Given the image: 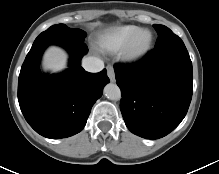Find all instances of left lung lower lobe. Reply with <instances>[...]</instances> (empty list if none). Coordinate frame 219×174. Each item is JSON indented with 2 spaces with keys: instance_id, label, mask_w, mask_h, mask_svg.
Instances as JSON below:
<instances>
[{
  "instance_id": "0a47b994",
  "label": "left lung lower lobe",
  "mask_w": 219,
  "mask_h": 174,
  "mask_svg": "<svg viewBox=\"0 0 219 174\" xmlns=\"http://www.w3.org/2000/svg\"><path fill=\"white\" fill-rule=\"evenodd\" d=\"M120 109L129 130L158 139L184 119L193 92L192 62L185 45L154 48L141 61L114 66Z\"/></svg>"
}]
</instances>
